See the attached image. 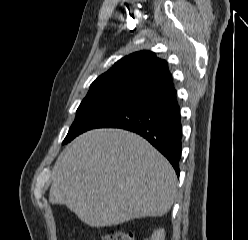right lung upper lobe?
<instances>
[{
    "mask_svg": "<svg viewBox=\"0 0 248 240\" xmlns=\"http://www.w3.org/2000/svg\"><path fill=\"white\" fill-rule=\"evenodd\" d=\"M172 89L174 84L167 62L150 51L136 52L120 59L90 86V91L110 90L137 100Z\"/></svg>",
    "mask_w": 248,
    "mask_h": 240,
    "instance_id": "right-lung-upper-lobe-1",
    "label": "right lung upper lobe"
}]
</instances>
